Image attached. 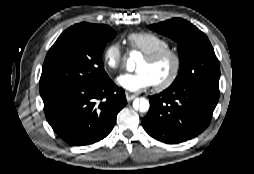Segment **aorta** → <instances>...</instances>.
Returning a JSON list of instances; mask_svg holds the SVG:
<instances>
[{
    "label": "aorta",
    "mask_w": 254,
    "mask_h": 174,
    "mask_svg": "<svg viewBox=\"0 0 254 174\" xmlns=\"http://www.w3.org/2000/svg\"><path fill=\"white\" fill-rule=\"evenodd\" d=\"M138 53L135 51H132L130 53V58L127 60V70L128 71H133L135 69V60L137 57ZM149 101L146 98H140V99H136L133 102V107L137 110H139L140 112H147L149 110Z\"/></svg>",
    "instance_id": "obj_1"
}]
</instances>
